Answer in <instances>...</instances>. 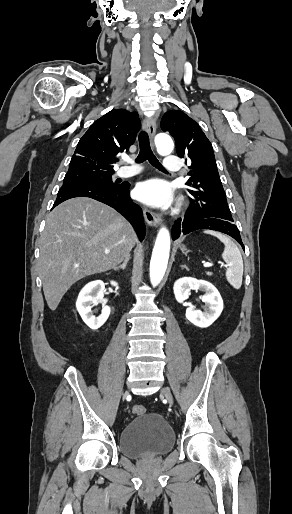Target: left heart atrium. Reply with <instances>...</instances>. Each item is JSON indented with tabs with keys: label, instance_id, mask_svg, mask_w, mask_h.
Returning a JSON list of instances; mask_svg holds the SVG:
<instances>
[{
	"label": "left heart atrium",
	"instance_id": "1",
	"mask_svg": "<svg viewBox=\"0 0 292 514\" xmlns=\"http://www.w3.org/2000/svg\"><path fill=\"white\" fill-rule=\"evenodd\" d=\"M136 197L153 206H165L171 202V193L166 183L157 178L140 183L135 189Z\"/></svg>",
	"mask_w": 292,
	"mask_h": 514
}]
</instances>
